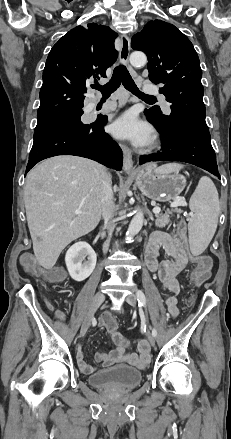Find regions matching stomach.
Returning a JSON list of instances; mask_svg holds the SVG:
<instances>
[{
	"label": "stomach",
	"mask_w": 231,
	"mask_h": 439,
	"mask_svg": "<svg viewBox=\"0 0 231 439\" xmlns=\"http://www.w3.org/2000/svg\"><path fill=\"white\" fill-rule=\"evenodd\" d=\"M129 174L143 195L159 202L175 200L186 185L183 175L178 172H161L152 164L139 167Z\"/></svg>",
	"instance_id": "1"
}]
</instances>
